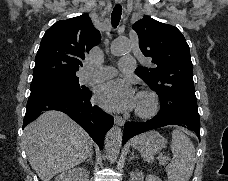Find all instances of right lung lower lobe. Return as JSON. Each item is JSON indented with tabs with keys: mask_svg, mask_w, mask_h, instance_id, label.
<instances>
[{
	"mask_svg": "<svg viewBox=\"0 0 228 181\" xmlns=\"http://www.w3.org/2000/svg\"><path fill=\"white\" fill-rule=\"evenodd\" d=\"M91 96L88 88L80 96L55 89L33 91L27 102L24 126L43 111H62L84 128L102 149L105 134L112 127L114 119L98 106L92 105Z\"/></svg>",
	"mask_w": 228,
	"mask_h": 181,
	"instance_id": "98d812e1",
	"label": "right lung lower lobe"
}]
</instances>
